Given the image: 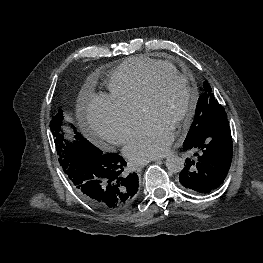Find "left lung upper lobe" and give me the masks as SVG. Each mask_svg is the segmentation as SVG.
<instances>
[{"instance_id": "5c2ea615", "label": "left lung upper lobe", "mask_w": 263, "mask_h": 263, "mask_svg": "<svg viewBox=\"0 0 263 263\" xmlns=\"http://www.w3.org/2000/svg\"><path fill=\"white\" fill-rule=\"evenodd\" d=\"M220 119H227V114L212 94L210 85L205 82L204 93L198 99L194 121L186 138L193 139L199 136L206 128Z\"/></svg>"}]
</instances>
